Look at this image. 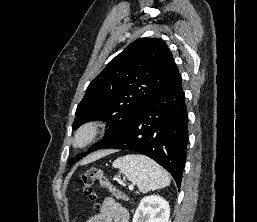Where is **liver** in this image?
<instances>
[{"instance_id": "liver-1", "label": "liver", "mask_w": 257, "mask_h": 222, "mask_svg": "<svg viewBox=\"0 0 257 222\" xmlns=\"http://www.w3.org/2000/svg\"><path fill=\"white\" fill-rule=\"evenodd\" d=\"M107 153H109V151H107V152H99V153L93 154L90 157H88L87 159H85L82 162V164H86V163H88L90 161L96 160V159L100 158L101 156H103V155H105Z\"/></svg>"}]
</instances>
